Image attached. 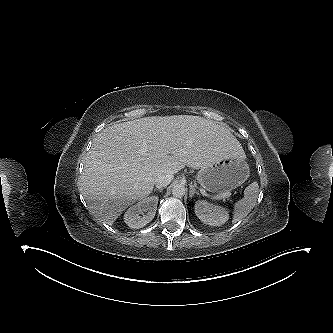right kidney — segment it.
<instances>
[{"mask_svg":"<svg viewBox=\"0 0 333 333\" xmlns=\"http://www.w3.org/2000/svg\"><path fill=\"white\" fill-rule=\"evenodd\" d=\"M158 200L157 196H151L130 206L124 214L125 223L133 229L144 227L154 218Z\"/></svg>","mask_w":333,"mask_h":333,"instance_id":"ca27d5eb","label":"right kidney"}]
</instances>
